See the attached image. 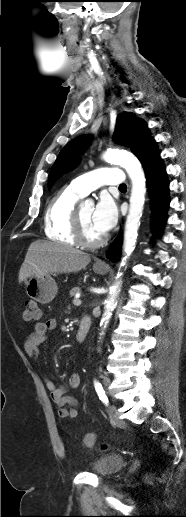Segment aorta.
Instances as JSON below:
<instances>
[{
    "label": "aorta",
    "instance_id": "obj_1",
    "mask_svg": "<svg viewBox=\"0 0 186 517\" xmlns=\"http://www.w3.org/2000/svg\"><path fill=\"white\" fill-rule=\"evenodd\" d=\"M104 160L110 163L119 164L123 167L131 179L132 188L130 196L129 212L126 218L123 250L124 260L133 252L140 226V219L143 212L146 193V178L143 168L138 159L130 152L118 149H109L103 154ZM122 274L118 273L117 278ZM121 280L116 282L110 290V295L105 301V312L101 320V326L106 327L115 307V301L120 291Z\"/></svg>",
    "mask_w": 186,
    "mask_h": 517
}]
</instances>
